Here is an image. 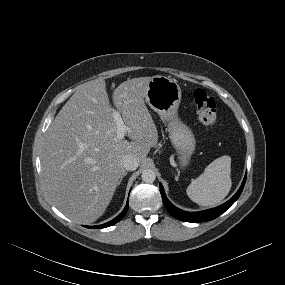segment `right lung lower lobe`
Returning a JSON list of instances; mask_svg holds the SVG:
<instances>
[{
    "label": "right lung lower lobe",
    "instance_id": "1",
    "mask_svg": "<svg viewBox=\"0 0 285 285\" xmlns=\"http://www.w3.org/2000/svg\"><path fill=\"white\" fill-rule=\"evenodd\" d=\"M127 209H128V201H127V204L124 208V210L116 217L114 218L113 220L105 223V224H102V225H98V226H86L87 228H93V229H96V228H105V227H109L111 225H114L115 223L119 222L126 214L127 212Z\"/></svg>",
    "mask_w": 285,
    "mask_h": 285
}]
</instances>
